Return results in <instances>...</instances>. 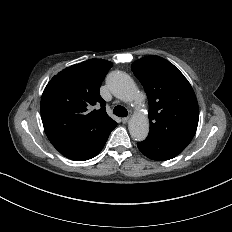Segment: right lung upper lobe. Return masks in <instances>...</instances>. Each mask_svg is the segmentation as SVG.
<instances>
[{
  "label": "right lung upper lobe",
  "mask_w": 232,
  "mask_h": 232,
  "mask_svg": "<svg viewBox=\"0 0 232 232\" xmlns=\"http://www.w3.org/2000/svg\"><path fill=\"white\" fill-rule=\"evenodd\" d=\"M112 65L90 59L62 70L49 81L41 98V118L54 146L94 142L116 126L99 93ZM95 105L97 109H93Z\"/></svg>",
  "instance_id": "right-lung-upper-lobe-1"
}]
</instances>
